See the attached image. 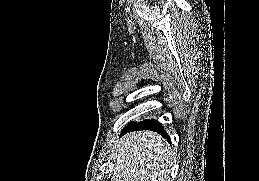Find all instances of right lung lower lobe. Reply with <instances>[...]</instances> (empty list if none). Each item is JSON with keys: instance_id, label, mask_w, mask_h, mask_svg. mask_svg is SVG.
Segmentation results:
<instances>
[{"instance_id": "1", "label": "right lung lower lobe", "mask_w": 259, "mask_h": 181, "mask_svg": "<svg viewBox=\"0 0 259 181\" xmlns=\"http://www.w3.org/2000/svg\"><path fill=\"white\" fill-rule=\"evenodd\" d=\"M141 131V130H151V131H155L157 133H161L163 135V137H165L166 139H168V141L170 142V138L168 136V134L164 131L161 123L157 120H145L143 122H132L131 124H129L128 126H126L123 131V133L126 132H130V131ZM171 143V142H170Z\"/></svg>"}]
</instances>
